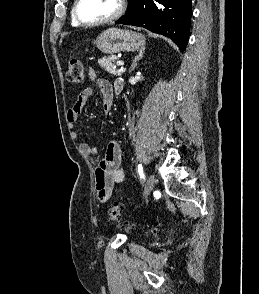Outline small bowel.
Returning a JSON list of instances; mask_svg holds the SVG:
<instances>
[{
	"instance_id": "1",
	"label": "small bowel",
	"mask_w": 259,
	"mask_h": 294,
	"mask_svg": "<svg viewBox=\"0 0 259 294\" xmlns=\"http://www.w3.org/2000/svg\"><path fill=\"white\" fill-rule=\"evenodd\" d=\"M88 77L91 81L96 79L94 70H89ZM98 87L101 93V106L105 113L109 112L112 107L115 94L122 91L123 82L116 80L112 85L104 79L98 81ZM92 95L91 88H85L77 97L73 106L67 112V120L70 124H74L83 108L87 104ZM71 136L77 138L78 133L73 131ZM82 152L95 162L96 151L87 143H81ZM122 149L120 143L112 140L106 149L104 157L97 163L95 169L96 194L100 202H107L113 192L116 183H122L125 180V172L121 168Z\"/></svg>"
}]
</instances>
